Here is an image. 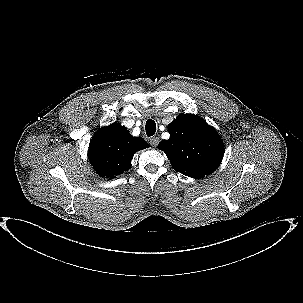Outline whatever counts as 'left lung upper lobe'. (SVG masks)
I'll use <instances>...</instances> for the list:
<instances>
[{"label": "left lung upper lobe", "instance_id": "left-lung-upper-lobe-1", "mask_svg": "<svg viewBox=\"0 0 303 303\" xmlns=\"http://www.w3.org/2000/svg\"><path fill=\"white\" fill-rule=\"evenodd\" d=\"M170 138L159 143L173 169L188 177L203 178L221 164L224 143L217 131L202 118L179 115L168 125Z\"/></svg>", "mask_w": 303, "mask_h": 303}]
</instances>
